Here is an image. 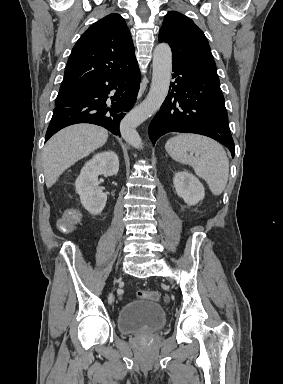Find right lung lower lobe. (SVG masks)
Returning <instances> with one entry per match:
<instances>
[{"label": "right lung lower lobe", "mask_w": 283, "mask_h": 384, "mask_svg": "<svg viewBox=\"0 0 283 384\" xmlns=\"http://www.w3.org/2000/svg\"><path fill=\"white\" fill-rule=\"evenodd\" d=\"M139 84L138 64L130 71L87 83L69 100L56 105L45 141L60 129L77 123L100 125L120 136V122L125 112L132 109ZM112 90L114 95L108 97Z\"/></svg>", "instance_id": "right-lung-lower-lobe-1"}]
</instances>
